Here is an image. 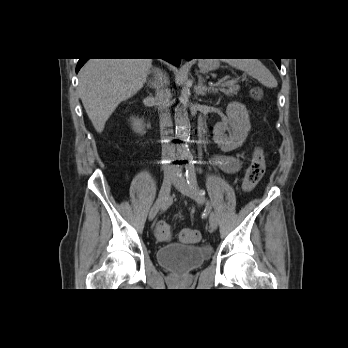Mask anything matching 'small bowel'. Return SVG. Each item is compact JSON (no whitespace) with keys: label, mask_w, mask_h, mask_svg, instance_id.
<instances>
[{"label":"small bowel","mask_w":348,"mask_h":348,"mask_svg":"<svg viewBox=\"0 0 348 348\" xmlns=\"http://www.w3.org/2000/svg\"><path fill=\"white\" fill-rule=\"evenodd\" d=\"M214 163L229 174L238 173L242 167L240 160L230 155H219L214 159Z\"/></svg>","instance_id":"1"}]
</instances>
